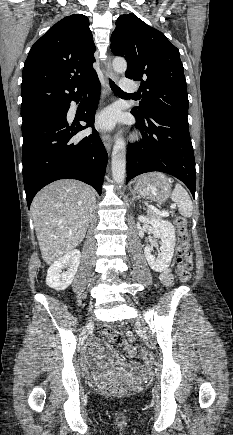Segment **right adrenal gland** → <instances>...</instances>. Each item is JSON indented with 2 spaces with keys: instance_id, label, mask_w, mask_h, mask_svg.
I'll return each mask as SVG.
<instances>
[{
  "instance_id": "2a0ac1e0",
  "label": "right adrenal gland",
  "mask_w": 233,
  "mask_h": 435,
  "mask_svg": "<svg viewBox=\"0 0 233 435\" xmlns=\"http://www.w3.org/2000/svg\"><path fill=\"white\" fill-rule=\"evenodd\" d=\"M94 214H95V210H94V212H93V216H94Z\"/></svg>"
}]
</instances>
